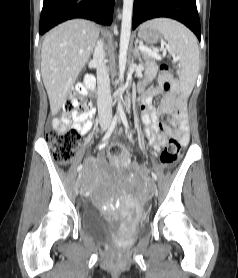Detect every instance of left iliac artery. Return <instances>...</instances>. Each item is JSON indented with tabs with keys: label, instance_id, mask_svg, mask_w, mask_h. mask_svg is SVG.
<instances>
[{
	"label": "left iliac artery",
	"instance_id": "1",
	"mask_svg": "<svg viewBox=\"0 0 238 278\" xmlns=\"http://www.w3.org/2000/svg\"><path fill=\"white\" fill-rule=\"evenodd\" d=\"M120 117H121V120H122L125 128L129 129L128 121H127V118H126L125 114L121 113ZM152 177H153L154 180H157V175L154 172H152Z\"/></svg>",
	"mask_w": 238,
	"mask_h": 278
}]
</instances>
